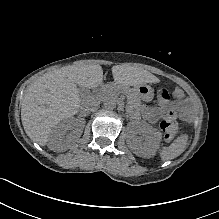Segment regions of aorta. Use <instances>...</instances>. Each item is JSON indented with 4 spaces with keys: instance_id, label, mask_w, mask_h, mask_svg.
Listing matches in <instances>:
<instances>
[{
    "instance_id": "aorta-1",
    "label": "aorta",
    "mask_w": 219,
    "mask_h": 219,
    "mask_svg": "<svg viewBox=\"0 0 219 219\" xmlns=\"http://www.w3.org/2000/svg\"><path fill=\"white\" fill-rule=\"evenodd\" d=\"M117 106L116 98H106L104 99V107L107 110H114Z\"/></svg>"
}]
</instances>
